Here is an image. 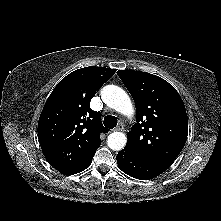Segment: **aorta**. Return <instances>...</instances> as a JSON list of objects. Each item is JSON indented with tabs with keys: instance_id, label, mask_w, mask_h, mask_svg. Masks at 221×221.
<instances>
[{
	"instance_id": "aorta-1",
	"label": "aorta",
	"mask_w": 221,
	"mask_h": 221,
	"mask_svg": "<svg viewBox=\"0 0 221 221\" xmlns=\"http://www.w3.org/2000/svg\"><path fill=\"white\" fill-rule=\"evenodd\" d=\"M103 102L110 108L128 117L134 115V108L128 94L120 87L107 85L101 91ZM127 143V136L122 132H113L107 139L108 147L114 151L122 150Z\"/></svg>"
}]
</instances>
